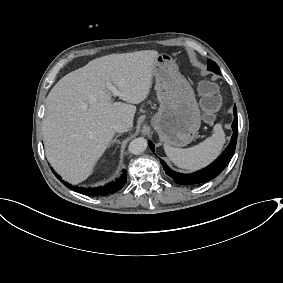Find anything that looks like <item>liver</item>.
<instances>
[{"label":"liver","mask_w":283,"mask_h":283,"mask_svg":"<svg viewBox=\"0 0 283 283\" xmlns=\"http://www.w3.org/2000/svg\"><path fill=\"white\" fill-rule=\"evenodd\" d=\"M155 50L110 54L61 78L47 96L42 123L46 157L63 180L76 185L86 180L112 140L113 126H133L136 106L152 85ZM120 91L112 102L106 83Z\"/></svg>","instance_id":"1"}]
</instances>
